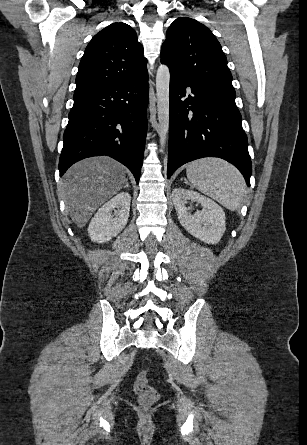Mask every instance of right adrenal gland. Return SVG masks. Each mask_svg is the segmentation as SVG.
Masks as SVG:
<instances>
[{
  "instance_id": "obj_1",
  "label": "right adrenal gland",
  "mask_w": 307,
  "mask_h": 445,
  "mask_svg": "<svg viewBox=\"0 0 307 445\" xmlns=\"http://www.w3.org/2000/svg\"><path fill=\"white\" fill-rule=\"evenodd\" d=\"M129 184H125L124 188H128Z\"/></svg>"
}]
</instances>
